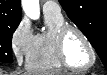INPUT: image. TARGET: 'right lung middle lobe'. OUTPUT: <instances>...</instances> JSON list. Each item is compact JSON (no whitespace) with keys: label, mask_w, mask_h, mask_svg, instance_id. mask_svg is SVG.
Masks as SVG:
<instances>
[{"label":"right lung middle lobe","mask_w":107,"mask_h":75,"mask_svg":"<svg viewBox=\"0 0 107 75\" xmlns=\"http://www.w3.org/2000/svg\"><path fill=\"white\" fill-rule=\"evenodd\" d=\"M19 23L0 26V62L12 63V34Z\"/></svg>","instance_id":"obj_1"}]
</instances>
